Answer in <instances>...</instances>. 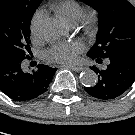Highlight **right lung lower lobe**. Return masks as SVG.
Listing matches in <instances>:
<instances>
[{"label":"right lung lower lobe","mask_w":135,"mask_h":135,"mask_svg":"<svg viewBox=\"0 0 135 135\" xmlns=\"http://www.w3.org/2000/svg\"><path fill=\"white\" fill-rule=\"evenodd\" d=\"M7 50L0 49V90L14 101L25 102L46 92L56 68L38 65L36 71L23 69L24 59Z\"/></svg>","instance_id":"right-lung-lower-lobe-1"}]
</instances>
